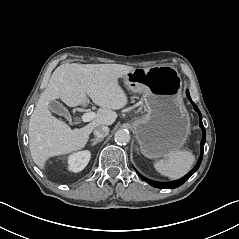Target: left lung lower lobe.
Segmentation results:
<instances>
[{"instance_id": "0a47b994", "label": "left lung lower lobe", "mask_w": 239, "mask_h": 239, "mask_svg": "<svg viewBox=\"0 0 239 239\" xmlns=\"http://www.w3.org/2000/svg\"><path fill=\"white\" fill-rule=\"evenodd\" d=\"M187 97L188 99L190 100V102L192 103L195 111L199 114V120H200V127L202 129V132H203V138H202V142H201V155H200V158H199V161L197 163V165L195 166V168L190 172L188 173L186 176H184L183 178L177 180V181H173V182H168V183H162V182H155V181H152V180H149L143 176H141V178L146 181L148 184L156 187V188H161V189H173V188H176V187H179L181 186L194 172L197 171V169L199 168L200 164H201V161H202V157H203V150H204V144H205V140H206V132H205V128L203 126V123H202V115L198 109V107L194 104V102L191 100L190 98V95H189V92L187 91Z\"/></svg>"}]
</instances>
